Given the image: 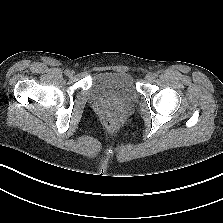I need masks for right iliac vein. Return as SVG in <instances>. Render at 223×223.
Returning <instances> with one entry per match:
<instances>
[{"label":"right iliac vein","instance_id":"right-iliac-vein-1","mask_svg":"<svg viewBox=\"0 0 223 223\" xmlns=\"http://www.w3.org/2000/svg\"><path fill=\"white\" fill-rule=\"evenodd\" d=\"M73 74H74L73 71H70V72L68 73L69 76H73Z\"/></svg>","mask_w":223,"mask_h":223}]
</instances>
